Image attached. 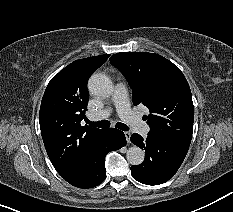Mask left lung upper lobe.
<instances>
[{
  "label": "left lung upper lobe",
  "mask_w": 233,
  "mask_h": 212,
  "mask_svg": "<svg viewBox=\"0 0 233 212\" xmlns=\"http://www.w3.org/2000/svg\"><path fill=\"white\" fill-rule=\"evenodd\" d=\"M110 62L127 79L133 91V103H142L150 114L144 116L159 139L190 145L194 106L191 90L182 71L166 58L145 52H121Z\"/></svg>",
  "instance_id": "1"
}]
</instances>
